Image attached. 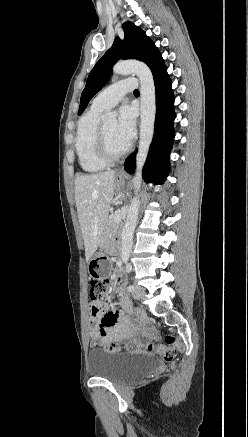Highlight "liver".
<instances>
[{
	"label": "liver",
	"instance_id": "obj_1",
	"mask_svg": "<svg viewBox=\"0 0 248 437\" xmlns=\"http://www.w3.org/2000/svg\"><path fill=\"white\" fill-rule=\"evenodd\" d=\"M115 171L82 174L75 179V201L88 262L104 236L113 199Z\"/></svg>",
	"mask_w": 248,
	"mask_h": 437
}]
</instances>
